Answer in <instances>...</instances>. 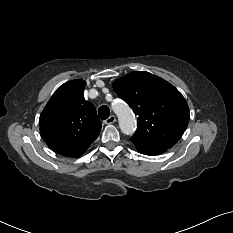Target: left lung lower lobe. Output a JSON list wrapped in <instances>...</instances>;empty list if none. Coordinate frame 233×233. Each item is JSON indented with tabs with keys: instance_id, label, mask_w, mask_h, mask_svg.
Instances as JSON below:
<instances>
[{
	"instance_id": "left-lung-lower-lobe-1",
	"label": "left lung lower lobe",
	"mask_w": 233,
	"mask_h": 233,
	"mask_svg": "<svg viewBox=\"0 0 233 233\" xmlns=\"http://www.w3.org/2000/svg\"><path fill=\"white\" fill-rule=\"evenodd\" d=\"M136 149L139 153L145 155H159L164 153L167 148L159 147V146H150V145H139L135 144Z\"/></svg>"
}]
</instances>
